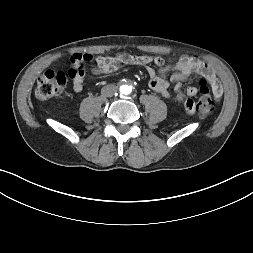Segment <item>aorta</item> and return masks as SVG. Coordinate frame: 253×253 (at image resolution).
Listing matches in <instances>:
<instances>
[{
    "label": "aorta",
    "mask_w": 253,
    "mask_h": 253,
    "mask_svg": "<svg viewBox=\"0 0 253 253\" xmlns=\"http://www.w3.org/2000/svg\"><path fill=\"white\" fill-rule=\"evenodd\" d=\"M131 91H132V87H131V86L122 85V86L120 87V92H121L122 94H130Z\"/></svg>",
    "instance_id": "obj_1"
}]
</instances>
